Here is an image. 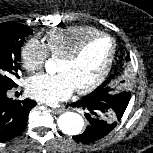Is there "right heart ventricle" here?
<instances>
[{
  "label": "right heart ventricle",
  "instance_id": "1",
  "mask_svg": "<svg viewBox=\"0 0 153 153\" xmlns=\"http://www.w3.org/2000/svg\"><path fill=\"white\" fill-rule=\"evenodd\" d=\"M97 33H100V31L91 26L54 29L45 36V45L52 55L62 57L72 51L85 38Z\"/></svg>",
  "mask_w": 153,
  "mask_h": 153
}]
</instances>
